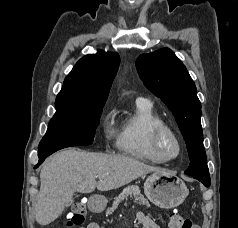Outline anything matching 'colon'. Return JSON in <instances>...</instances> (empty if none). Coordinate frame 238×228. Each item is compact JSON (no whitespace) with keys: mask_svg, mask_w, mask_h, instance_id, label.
Returning <instances> with one entry per match:
<instances>
[{"mask_svg":"<svg viewBox=\"0 0 238 228\" xmlns=\"http://www.w3.org/2000/svg\"><path fill=\"white\" fill-rule=\"evenodd\" d=\"M87 217V210L83 202H76L71 208V212L68 215L67 226H79L82 225ZM170 228H196L192 221L187 217L179 213H172L169 217Z\"/></svg>","mask_w":238,"mask_h":228,"instance_id":"5ec220e1","label":"colon"}]
</instances>
